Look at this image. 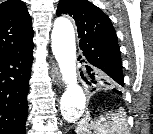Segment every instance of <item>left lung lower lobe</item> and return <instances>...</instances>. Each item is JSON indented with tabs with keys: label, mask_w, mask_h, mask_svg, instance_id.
<instances>
[{
	"label": "left lung lower lobe",
	"mask_w": 153,
	"mask_h": 134,
	"mask_svg": "<svg viewBox=\"0 0 153 134\" xmlns=\"http://www.w3.org/2000/svg\"><path fill=\"white\" fill-rule=\"evenodd\" d=\"M82 62H84V60H82ZM87 63V62H85ZM86 70H87V73L89 75L88 79L89 81H86L87 84H89L91 87H92V90H96V87L101 85L102 83L105 82V74L99 70H97L95 67H93L92 65H86ZM113 92L119 94V95H122V92L117 90V89H113L112 90Z\"/></svg>",
	"instance_id": "obj_1"
}]
</instances>
